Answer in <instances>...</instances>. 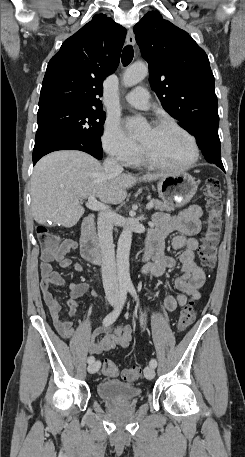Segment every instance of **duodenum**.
Instances as JSON below:
<instances>
[{"instance_id": "obj_1", "label": "duodenum", "mask_w": 245, "mask_h": 457, "mask_svg": "<svg viewBox=\"0 0 245 457\" xmlns=\"http://www.w3.org/2000/svg\"><path fill=\"white\" fill-rule=\"evenodd\" d=\"M81 249L83 258L89 263L100 265L103 262V255L99 250L95 239V217L87 216L82 224L81 229ZM151 258V253L146 250L143 254V261Z\"/></svg>"}]
</instances>
